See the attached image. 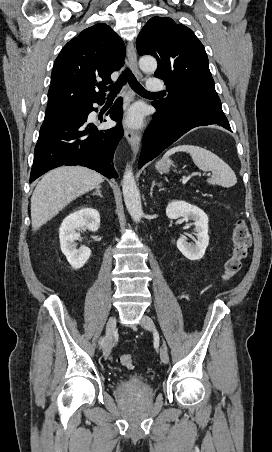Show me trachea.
Segmentation results:
<instances>
[{
    "label": "trachea",
    "mask_w": 272,
    "mask_h": 452,
    "mask_svg": "<svg viewBox=\"0 0 272 452\" xmlns=\"http://www.w3.org/2000/svg\"><path fill=\"white\" fill-rule=\"evenodd\" d=\"M127 81L129 82L130 86L132 87V89L140 94V95H156V94H160L159 93H153V92H149L147 91L135 78V76L133 75V73L127 68L118 78L117 82L114 83L113 85L110 86V92L108 94V97H113L116 96L120 90L121 87L123 85H125L127 83Z\"/></svg>",
    "instance_id": "1"
}]
</instances>
